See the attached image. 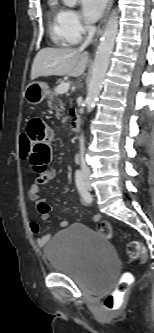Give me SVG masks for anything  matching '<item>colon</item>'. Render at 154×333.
Here are the masks:
<instances>
[{"label": "colon", "instance_id": "obj_1", "mask_svg": "<svg viewBox=\"0 0 154 333\" xmlns=\"http://www.w3.org/2000/svg\"><path fill=\"white\" fill-rule=\"evenodd\" d=\"M32 148L31 139L27 134H22L19 138L20 157L26 159L30 156ZM97 231L106 238L112 237V227L109 222L102 221L97 225ZM128 256L132 259H143L145 256L144 245L140 241H131L127 245ZM131 276L125 275L117 284L115 290L103 299V305L107 310H117L123 303L124 296L130 286Z\"/></svg>", "mask_w": 154, "mask_h": 333}]
</instances>
